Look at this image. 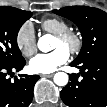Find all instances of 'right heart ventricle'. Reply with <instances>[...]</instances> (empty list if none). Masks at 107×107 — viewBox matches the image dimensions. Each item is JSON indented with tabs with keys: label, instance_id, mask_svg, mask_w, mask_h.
Returning a JSON list of instances; mask_svg holds the SVG:
<instances>
[{
	"label": "right heart ventricle",
	"instance_id": "e07e8e85",
	"mask_svg": "<svg viewBox=\"0 0 107 107\" xmlns=\"http://www.w3.org/2000/svg\"><path fill=\"white\" fill-rule=\"evenodd\" d=\"M41 28L49 34L56 35L70 28L69 24L61 18H48L41 22Z\"/></svg>",
	"mask_w": 107,
	"mask_h": 107
}]
</instances>
